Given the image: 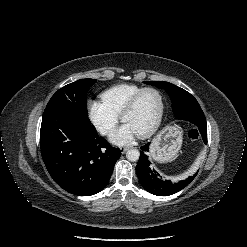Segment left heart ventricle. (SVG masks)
<instances>
[{"mask_svg": "<svg viewBox=\"0 0 247 247\" xmlns=\"http://www.w3.org/2000/svg\"><path fill=\"white\" fill-rule=\"evenodd\" d=\"M160 111L159 97L153 92L145 93L138 104L124 119L137 134L148 130L156 121Z\"/></svg>", "mask_w": 247, "mask_h": 247, "instance_id": "left-heart-ventricle-1", "label": "left heart ventricle"}]
</instances>
